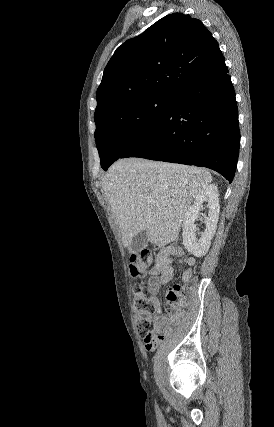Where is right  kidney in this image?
<instances>
[{"label": "right kidney", "mask_w": 274, "mask_h": 427, "mask_svg": "<svg viewBox=\"0 0 274 427\" xmlns=\"http://www.w3.org/2000/svg\"><path fill=\"white\" fill-rule=\"evenodd\" d=\"M203 202H207L208 215L204 217V223H206L205 231H202L201 237H196V225H194L195 219L199 217V210L202 208ZM220 212L219 194L217 186L215 184H205L202 186L201 192H198L195 196L194 204L187 210L183 217V245L187 251L196 255V257H202L207 253L211 239L214 237L216 231Z\"/></svg>", "instance_id": "1"}]
</instances>
